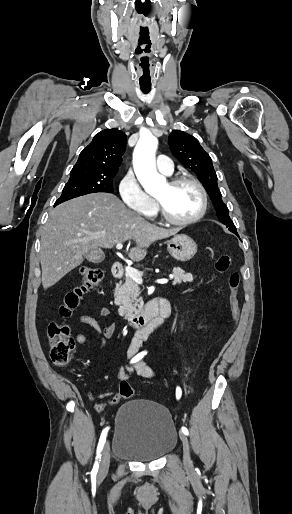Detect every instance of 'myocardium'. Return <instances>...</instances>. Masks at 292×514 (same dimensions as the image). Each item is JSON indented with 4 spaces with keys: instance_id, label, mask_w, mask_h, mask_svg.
I'll return each mask as SVG.
<instances>
[{
    "instance_id": "1",
    "label": "myocardium",
    "mask_w": 292,
    "mask_h": 514,
    "mask_svg": "<svg viewBox=\"0 0 292 514\" xmlns=\"http://www.w3.org/2000/svg\"><path fill=\"white\" fill-rule=\"evenodd\" d=\"M184 184L193 186L197 190V192L199 194V198H200L199 209L192 217L185 219V220L174 219L166 212V210L164 209L162 204L159 201H157L156 199H154L156 209H157L158 213L161 215L162 219L165 222H168L169 224L176 225V226H187V225L197 222L204 215V213L206 211V207H207L206 191H205L204 187L197 180L188 178V177H177L168 182V186L172 187V188L178 187V186L184 185Z\"/></svg>"
}]
</instances>
